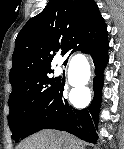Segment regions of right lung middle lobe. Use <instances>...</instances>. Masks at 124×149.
Listing matches in <instances>:
<instances>
[{
  "mask_svg": "<svg viewBox=\"0 0 124 149\" xmlns=\"http://www.w3.org/2000/svg\"><path fill=\"white\" fill-rule=\"evenodd\" d=\"M50 73L53 71L38 74L29 82L12 89L8 101L10 108L8 123L15 142L21 139L29 120L59 85L56 78L48 76Z\"/></svg>",
  "mask_w": 124,
  "mask_h": 149,
  "instance_id": "dd1d6c3e",
  "label": "right lung middle lobe"
}]
</instances>
